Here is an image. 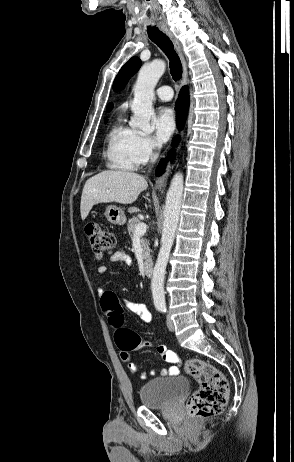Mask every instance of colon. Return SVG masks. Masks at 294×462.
Segmentation results:
<instances>
[{
  "instance_id": "1",
  "label": "colon",
  "mask_w": 294,
  "mask_h": 462,
  "mask_svg": "<svg viewBox=\"0 0 294 462\" xmlns=\"http://www.w3.org/2000/svg\"><path fill=\"white\" fill-rule=\"evenodd\" d=\"M85 234L98 259L114 248V235L98 224L86 225ZM101 308L109 324L116 329L115 342L122 352L130 353L150 347L135 332L124 327L123 309L116 293L105 291L101 296ZM184 367L186 373L199 383V388L187 400L188 414L198 418L221 413L228 401V382L224 374L212 364L197 358L186 360Z\"/></svg>"
}]
</instances>
